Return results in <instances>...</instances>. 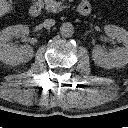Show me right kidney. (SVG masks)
Returning a JSON list of instances; mask_svg holds the SVG:
<instances>
[{
  "label": "right kidney",
  "mask_w": 128,
  "mask_h": 128,
  "mask_svg": "<svg viewBox=\"0 0 128 128\" xmlns=\"http://www.w3.org/2000/svg\"><path fill=\"white\" fill-rule=\"evenodd\" d=\"M29 34L25 25L9 26L0 31V61L9 65L26 63L33 57V48L29 45L16 47L10 42L12 37L20 38Z\"/></svg>",
  "instance_id": "1"
}]
</instances>
